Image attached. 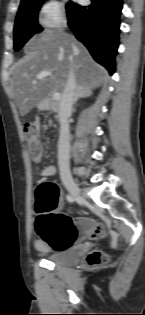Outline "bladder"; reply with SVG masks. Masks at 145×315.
<instances>
[{
  "label": "bladder",
  "mask_w": 145,
  "mask_h": 315,
  "mask_svg": "<svg viewBox=\"0 0 145 315\" xmlns=\"http://www.w3.org/2000/svg\"><path fill=\"white\" fill-rule=\"evenodd\" d=\"M79 260V248H62L55 251L50 257L49 261L57 266H73Z\"/></svg>",
  "instance_id": "bladder-1"
}]
</instances>
